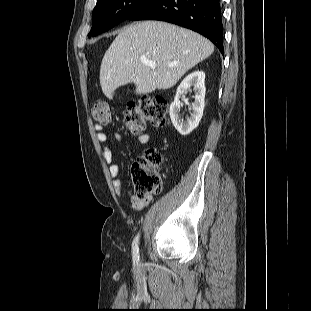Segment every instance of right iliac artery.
<instances>
[{"instance_id": "82829eb1", "label": "right iliac artery", "mask_w": 311, "mask_h": 311, "mask_svg": "<svg viewBox=\"0 0 311 311\" xmlns=\"http://www.w3.org/2000/svg\"><path fill=\"white\" fill-rule=\"evenodd\" d=\"M139 237H140V235L138 234L134 238L133 243H132V255H133L134 264H138V262H139V247H138Z\"/></svg>"}]
</instances>
